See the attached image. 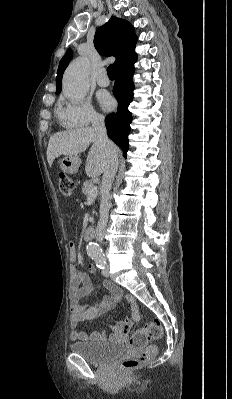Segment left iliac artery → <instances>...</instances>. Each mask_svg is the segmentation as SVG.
<instances>
[{"instance_id":"obj_1","label":"left iliac artery","mask_w":232,"mask_h":399,"mask_svg":"<svg viewBox=\"0 0 232 399\" xmlns=\"http://www.w3.org/2000/svg\"><path fill=\"white\" fill-rule=\"evenodd\" d=\"M93 258L97 264V267H99L100 269H104L105 265H106V259H105V255L98 253V254H93Z\"/></svg>"}]
</instances>
